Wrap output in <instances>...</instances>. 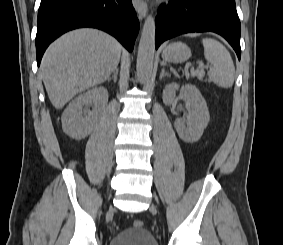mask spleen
Listing matches in <instances>:
<instances>
[{
	"instance_id": "3e777b00",
	"label": "spleen",
	"mask_w": 283,
	"mask_h": 245,
	"mask_svg": "<svg viewBox=\"0 0 283 245\" xmlns=\"http://www.w3.org/2000/svg\"><path fill=\"white\" fill-rule=\"evenodd\" d=\"M204 56L211 63L208 76L211 81L222 88L232 87L235 79V67L229 51L213 38L202 39Z\"/></svg>"
}]
</instances>
